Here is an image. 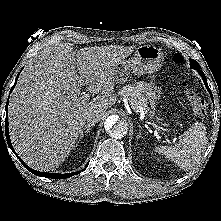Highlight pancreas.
Returning a JSON list of instances; mask_svg holds the SVG:
<instances>
[{"label":"pancreas","mask_w":221,"mask_h":221,"mask_svg":"<svg viewBox=\"0 0 221 221\" xmlns=\"http://www.w3.org/2000/svg\"><path fill=\"white\" fill-rule=\"evenodd\" d=\"M118 94L125 97L135 112L147 111V99L142 93L140 84H128L122 87Z\"/></svg>","instance_id":"cf45deb5"}]
</instances>
